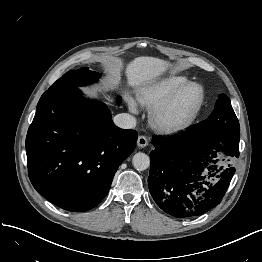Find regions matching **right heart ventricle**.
<instances>
[{
  "mask_svg": "<svg viewBox=\"0 0 262 262\" xmlns=\"http://www.w3.org/2000/svg\"><path fill=\"white\" fill-rule=\"evenodd\" d=\"M187 81V76L173 74L150 82L138 90V101L145 106H156Z\"/></svg>",
  "mask_w": 262,
  "mask_h": 262,
  "instance_id": "obj_1",
  "label": "right heart ventricle"
}]
</instances>
